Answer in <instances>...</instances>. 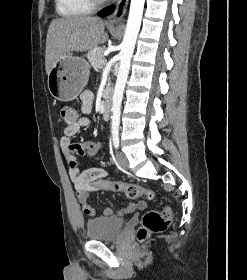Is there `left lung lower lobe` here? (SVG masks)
Listing matches in <instances>:
<instances>
[{
  "label": "left lung lower lobe",
  "mask_w": 247,
  "mask_h": 280,
  "mask_svg": "<svg viewBox=\"0 0 247 280\" xmlns=\"http://www.w3.org/2000/svg\"><path fill=\"white\" fill-rule=\"evenodd\" d=\"M114 10V7H110L108 9L103 10L102 12L99 13V16H107L111 14Z\"/></svg>",
  "instance_id": "0a47b994"
}]
</instances>
